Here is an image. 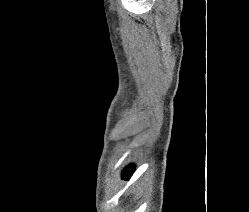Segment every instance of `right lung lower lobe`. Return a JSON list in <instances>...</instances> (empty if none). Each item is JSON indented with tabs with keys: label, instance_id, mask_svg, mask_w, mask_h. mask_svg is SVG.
<instances>
[{
	"label": "right lung lower lobe",
	"instance_id": "98d812e1",
	"mask_svg": "<svg viewBox=\"0 0 249 212\" xmlns=\"http://www.w3.org/2000/svg\"><path fill=\"white\" fill-rule=\"evenodd\" d=\"M134 171V167L133 166H129L127 169H125V171L123 172V178L124 179H128L130 178V176L132 175Z\"/></svg>",
	"mask_w": 249,
	"mask_h": 212
}]
</instances>
